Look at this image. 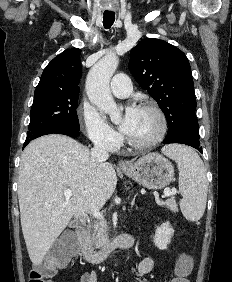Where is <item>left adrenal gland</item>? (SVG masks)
<instances>
[{"instance_id":"obj_1","label":"left adrenal gland","mask_w":232,"mask_h":282,"mask_svg":"<svg viewBox=\"0 0 232 282\" xmlns=\"http://www.w3.org/2000/svg\"><path fill=\"white\" fill-rule=\"evenodd\" d=\"M134 201H135V199L132 200V204H131L132 206L134 205Z\"/></svg>"}]
</instances>
